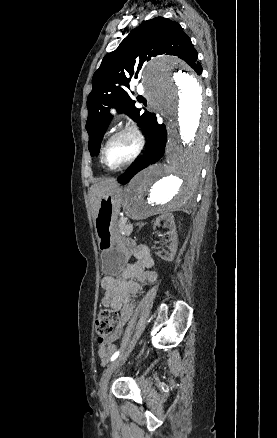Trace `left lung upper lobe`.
I'll list each match as a JSON object with an SVG mask.
<instances>
[{"label": "left lung upper lobe", "mask_w": 277, "mask_h": 438, "mask_svg": "<svg viewBox=\"0 0 277 438\" xmlns=\"http://www.w3.org/2000/svg\"><path fill=\"white\" fill-rule=\"evenodd\" d=\"M161 54L178 56L197 74L202 73V67L197 62L198 53L189 36L179 23L163 17L144 21L128 34L115 51L105 55L93 75V88L87 99L86 130L91 156L99 153L103 134L111 119V107L128 114L148 132L151 116L155 114L142 113L136 108L128 89L131 79L138 77L144 63Z\"/></svg>", "instance_id": "5c2ea615"}]
</instances>
